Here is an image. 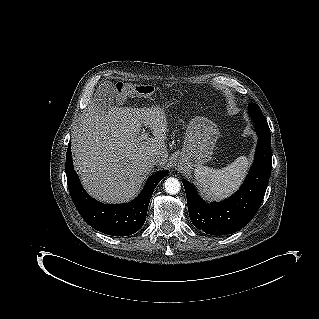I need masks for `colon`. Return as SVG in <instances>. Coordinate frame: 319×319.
<instances>
[{
	"instance_id": "colon-1",
	"label": "colon",
	"mask_w": 319,
	"mask_h": 319,
	"mask_svg": "<svg viewBox=\"0 0 319 319\" xmlns=\"http://www.w3.org/2000/svg\"><path fill=\"white\" fill-rule=\"evenodd\" d=\"M116 93L119 102L130 96L151 97L155 93L153 86L148 84L118 83Z\"/></svg>"
}]
</instances>
